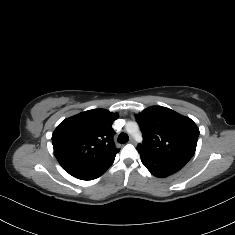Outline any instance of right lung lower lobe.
Wrapping results in <instances>:
<instances>
[{
  "instance_id": "right-lung-lower-lobe-1",
  "label": "right lung lower lobe",
  "mask_w": 235,
  "mask_h": 235,
  "mask_svg": "<svg viewBox=\"0 0 235 235\" xmlns=\"http://www.w3.org/2000/svg\"><path fill=\"white\" fill-rule=\"evenodd\" d=\"M107 170V169H106ZM106 170L104 171H99V172H93V173H69L75 178L81 179V180H93L101 176Z\"/></svg>"
}]
</instances>
